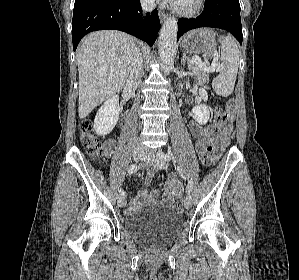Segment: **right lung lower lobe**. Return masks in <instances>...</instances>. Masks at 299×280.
Masks as SVG:
<instances>
[{"instance_id": "right-lung-lower-lobe-1", "label": "right lung lower lobe", "mask_w": 299, "mask_h": 280, "mask_svg": "<svg viewBox=\"0 0 299 280\" xmlns=\"http://www.w3.org/2000/svg\"><path fill=\"white\" fill-rule=\"evenodd\" d=\"M104 29L127 32L151 46L160 29L158 12L155 9L143 18L140 0H75L73 50H76L83 36Z\"/></svg>"}]
</instances>
